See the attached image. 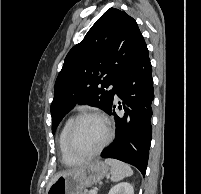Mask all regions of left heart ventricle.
<instances>
[{"label": "left heart ventricle", "mask_w": 201, "mask_h": 194, "mask_svg": "<svg viewBox=\"0 0 201 194\" xmlns=\"http://www.w3.org/2000/svg\"><path fill=\"white\" fill-rule=\"evenodd\" d=\"M105 136L106 130L101 120L85 118L76 128L74 146L81 153H90L102 144Z\"/></svg>", "instance_id": "1"}]
</instances>
